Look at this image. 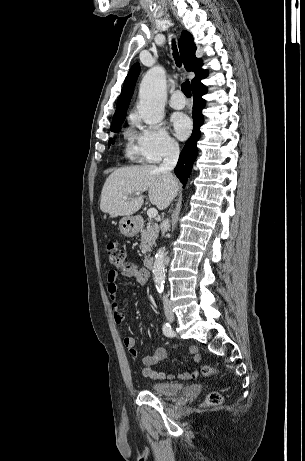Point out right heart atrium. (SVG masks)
Listing matches in <instances>:
<instances>
[{"label": "right heart atrium", "mask_w": 305, "mask_h": 461, "mask_svg": "<svg viewBox=\"0 0 305 461\" xmlns=\"http://www.w3.org/2000/svg\"><path fill=\"white\" fill-rule=\"evenodd\" d=\"M136 155L147 163H158L165 157L173 156L179 150V145L167 130L160 125L141 126L133 135Z\"/></svg>", "instance_id": "right-heart-atrium-1"}]
</instances>
